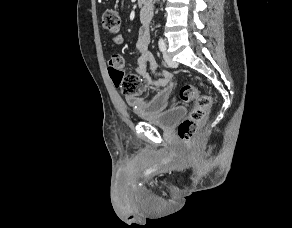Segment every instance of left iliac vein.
I'll return each mask as SVG.
<instances>
[{
  "label": "left iliac vein",
  "mask_w": 292,
  "mask_h": 228,
  "mask_svg": "<svg viewBox=\"0 0 292 228\" xmlns=\"http://www.w3.org/2000/svg\"><path fill=\"white\" fill-rule=\"evenodd\" d=\"M163 57L168 66L173 67V68L177 67L178 64L172 60V58L167 52H164Z\"/></svg>",
  "instance_id": "1"
}]
</instances>
